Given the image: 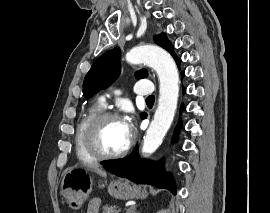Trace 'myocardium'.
I'll use <instances>...</instances> for the list:
<instances>
[{
	"instance_id": "1",
	"label": "myocardium",
	"mask_w": 270,
	"mask_h": 213,
	"mask_svg": "<svg viewBox=\"0 0 270 213\" xmlns=\"http://www.w3.org/2000/svg\"><path fill=\"white\" fill-rule=\"evenodd\" d=\"M108 120H120V117L114 112H100L91 120L85 132V147L97 160L120 159L129 153L133 144V141L130 138L123 150L113 154L102 152L98 146V134L103 124Z\"/></svg>"
}]
</instances>
